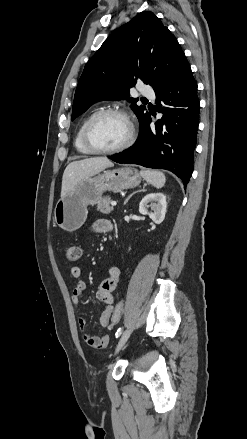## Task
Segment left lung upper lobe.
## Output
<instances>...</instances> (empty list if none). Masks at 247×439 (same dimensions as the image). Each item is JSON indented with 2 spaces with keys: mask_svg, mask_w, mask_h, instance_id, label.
<instances>
[{
  "mask_svg": "<svg viewBox=\"0 0 247 439\" xmlns=\"http://www.w3.org/2000/svg\"><path fill=\"white\" fill-rule=\"evenodd\" d=\"M186 59L176 37L153 12H142L121 26L87 62L76 88L74 120L102 100L130 101L139 123L148 115L138 99L129 98L137 80L161 87Z\"/></svg>",
  "mask_w": 247,
  "mask_h": 439,
  "instance_id": "left-lung-upper-lobe-1",
  "label": "left lung upper lobe"
}]
</instances>
